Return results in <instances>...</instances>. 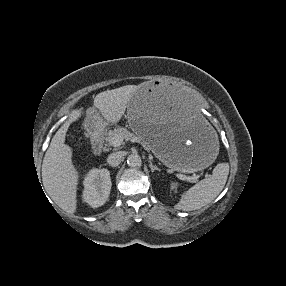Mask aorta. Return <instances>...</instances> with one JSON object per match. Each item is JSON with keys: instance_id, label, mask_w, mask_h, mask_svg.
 <instances>
[{"instance_id": "obj_1", "label": "aorta", "mask_w": 286, "mask_h": 286, "mask_svg": "<svg viewBox=\"0 0 286 286\" xmlns=\"http://www.w3.org/2000/svg\"><path fill=\"white\" fill-rule=\"evenodd\" d=\"M127 164L132 168H139L142 165V160L139 155L131 154L127 158Z\"/></svg>"}]
</instances>
